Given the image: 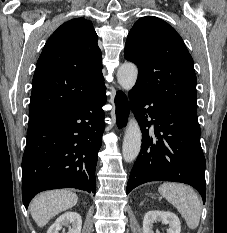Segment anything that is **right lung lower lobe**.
Wrapping results in <instances>:
<instances>
[{"label":"right lung lower lobe","mask_w":227,"mask_h":233,"mask_svg":"<svg viewBox=\"0 0 227 233\" xmlns=\"http://www.w3.org/2000/svg\"><path fill=\"white\" fill-rule=\"evenodd\" d=\"M105 89L103 86L85 100L29 126L22 159L26 208L37 193L45 190L96 192L95 168L105 128ZM118 123L123 125L119 119Z\"/></svg>","instance_id":"98d812e1"}]
</instances>
